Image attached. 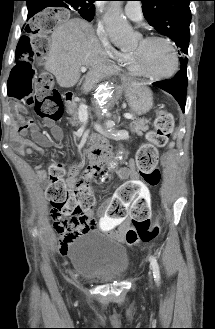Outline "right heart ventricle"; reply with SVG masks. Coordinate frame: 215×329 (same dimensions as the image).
Returning <instances> with one entry per match:
<instances>
[{
  "instance_id": "right-heart-ventricle-1",
  "label": "right heart ventricle",
  "mask_w": 215,
  "mask_h": 329,
  "mask_svg": "<svg viewBox=\"0 0 215 329\" xmlns=\"http://www.w3.org/2000/svg\"><path fill=\"white\" fill-rule=\"evenodd\" d=\"M131 55L132 53H121L120 61L131 73L137 74L132 66Z\"/></svg>"
}]
</instances>
